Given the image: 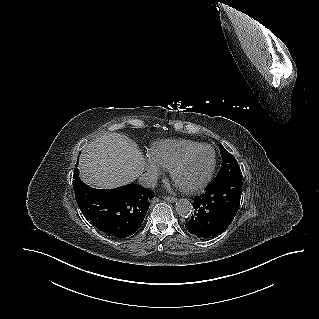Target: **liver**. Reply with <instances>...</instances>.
<instances>
[{"label": "liver", "mask_w": 319, "mask_h": 319, "mask_svg": "<svg viewBox=\"0 0 319 319\" xmlns=\"http://www.w3.org/2000/svg\"><path fill=\"white\" fill-rule=\"evenodd\" d=\"M144 164L136 144L120 133L93 140L79 159L82 180L101 189L131 183L142 174Z\"/></svg>", "instance_id": "obj_1"}]
</instances>
